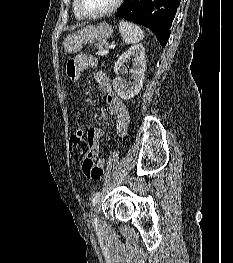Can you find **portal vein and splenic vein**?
Segmentation results:
<instances>
[{
    "label": "portal vein and splenic vein",
    "mask_w": 233,
    "mask_h": 263,
    "mask_svg": "<svg viewBox=\"0 0 233 263\" xmlns=\"http://www.w3.org/2000/svg\"><path fill=\"white\" fill-rule=\"evenodd\" d=\"M108 53H109V50L107 49V50H99L96 54L103 56V55H107Z\"/></svg>",
    "instance_id": "obj_1"
}]
</instances>
